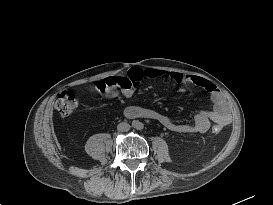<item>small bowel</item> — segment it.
<instances>
[{"label": "small bowel", "mask_w": 273, "mask_h": 205, "mask_svg": "<svg viewBox=\"0 0 273 205\" xmlns=\"http://www.w3.org/2000/svg\"><path fill=\"white\" fill-rule=\"evenodd\" d=\"M143 78L156 79L161 76H167L171 80L180 83L177 88V94H184L187 91L185 85L191 84L202 88L210 94L213 101L212 109H202L194 117L192 123L178 124L163 114L140 106H130L127 108V114L131 117H140L141 113L148 114V118L157 120L161 125L170 131L177 133H205L212 123L223 127L230 123L231 116L229 105L225 100L223 93L211 81L200 76H189L178 72L162 71L158 69L141 70ZM98 91L107 98H114L121 92L125 98H131L135 93V88L130 84L129 75L110 76L97 83Z\"/></svg>", "instance_id": "c3829d8e"}]
</instances>
